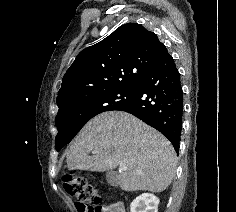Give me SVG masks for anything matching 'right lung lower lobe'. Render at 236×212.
Masks as SVG:
<instances>
[{"mask_svg": "<svg viewBox=\"0 0 236 212\" xmlns=\"http://www.w3.org/2000/svg\"><path fill=\"white\" fill-rule=\"evenodd\" d=\"M134 98L119 107L156 128L179 152L183 116L180 74L166 51L137 84Z\"/></svg>", "mask_w": 236, "mask_h": 212, "instance_id": "98d812e1", "label": "right lung lower lobe"}]
</instances>
